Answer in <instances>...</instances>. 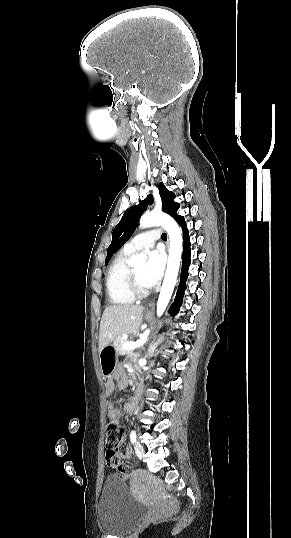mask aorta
<instances>
[{
    "mask_svg": "<svg viewBox=\"0 0 291 538\" xmlns=\"http://www.w3.org/2000/svg\"><path fill=\"white\" fill-rule=\"evenodd\" d=\"M140 225L144 228L162 226L168 233L170 239L169 258L164 282L157 301V315L161 316L169 303L176 284L181 254H182V234L178 224L168 214L162 212H148L141 216ZM147 257L144 254H137L131 260L134 268L142 267Z\"/></svg>",
    "mask_w": 291,
    "mask_h": 538,
    "instance_id": "1",
    "label": "aorta"
}]
</instances>
